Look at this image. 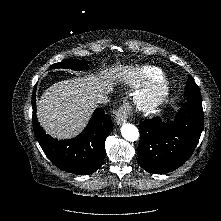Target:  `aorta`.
<instances>
[{
  "mask_svg": "<svg viewBox=\"0 0 221 221\" xmlns=\"http://www.w3.org/2000/svg\"><path fill=\"white\" fill-rule=\"evenodd\" d=\"M121 134L127 141L134 142L139 138V131L133 124L126 123L121 127Z\"/></svg>",
  "mask_w": 221,
  "mask_h": 221,
  "instance_id": "obj_1",
  "label": "aorta"
}]
</instances>
